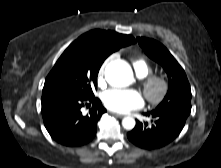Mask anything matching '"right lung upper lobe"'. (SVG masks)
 Segmentation results:
<instances>
[{"mask_svg": "<svg viewBox=\"0 0 221 168\" xmlns=\"http://www.w3.org/2000/svg\"><path fill=\"white\" fill-rule=\"evenodd\" d=\"M133 43H135V39L131 35H123L114 31L92 30L81 35L71 45L87 46L108 57L121 47Z\"/></svg>", "mask_w": 221, "mask_h": 168, "instance_id": "obj_1", "label": "right lung upper lobe"}]
</instances>
